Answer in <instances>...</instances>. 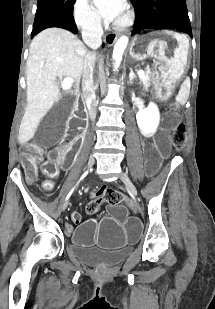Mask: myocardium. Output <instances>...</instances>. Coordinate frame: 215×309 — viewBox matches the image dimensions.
<instances>
[{
	"label": "myocardium",
	"instance_id": "f54148a6",
	"mask_svg": "<svg viewBox=\"0 0 215 309\" xmlns=\"http://www.w3.org/2000/svg\"><path fill=\"white\" fill-rule=\"evenodd\" d=\"M131 16H132V13L128 12L127 15L125 16V19L117 20L115 22L117 25H115L114 27L117 28L121 32L126 27V25H131L132 24V21L129 20Z\"/></svg>",
	"mask_w": 215,
	"mask_h": 309
}]
</instances>
